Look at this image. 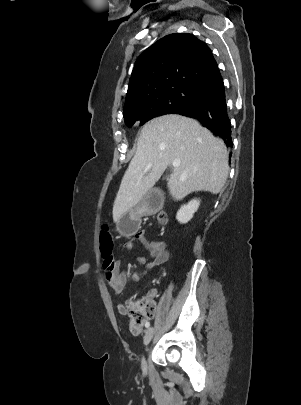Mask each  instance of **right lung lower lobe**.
<instances>
[{
  "mask_svg": "<svg viewBox=\"0 0 301 405\" xmlns=\"http://www.w3.org/2000/svg\"><path fill=\"white\" fill-rule=\"evenodd\" d=\"M172 114L197 119L202 126L208 128L215 136L220 137L227 147H233L224 84L199 102L178 108Z\"/></svg>",
  "mask_w": 301,
  "mask_h": 405,
  "instance_id": "98d812e1",
  "label": "right lung lower lobe"
}]
</instances>
